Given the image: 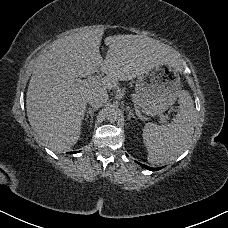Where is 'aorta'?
Wrapping results in <instances>:
<instances>
[{
	"instance_id": "762f6f07",
	"label": "aorta",
	"mask_w": 228,
	"mask_h": 228,
	"mask_svg": "<svg viewBox=\"0 0 228 228\" xmlns=\"http://www.w3.org/2000/svg\"><path fill=\"white\" fill-rule=\"evenodd\" d=\"M118 114H119V109L117 107L112 106L107 110L106 118L109 121H116L118 118Z\"/></svg>"
}]
</instances>
